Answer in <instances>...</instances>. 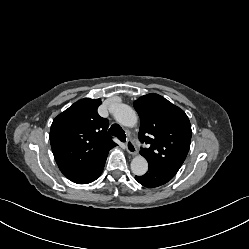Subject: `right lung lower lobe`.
Here are the masks:
<instances>
[{
	"mask_svg": "<svg viewBox=\"0 0 249 249\" xmlns=\"http://www.w3.org/2000/svg\"><path fill=\"white\" fill-rule=\"evenodd\" d=\"M106 161V160H105ZM104 164H105V162H104ZM104 164L102 165V167L100 168V170H99V172L97 173V175H96V177L94 178V180H96L99 176H100V174L102 173V171H103V168H104ZM93 180V181H94Z\"/></svg>",
	"mask_w": 249,
	"mask_h": 249,
	"instance_id": "right-lung-lower-lobe-1",
	"label": "right lung lower lobe"
}]
</instances>
